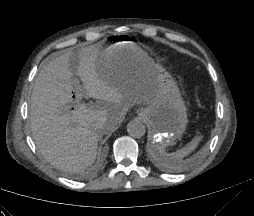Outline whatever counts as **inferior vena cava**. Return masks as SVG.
<instances>
[{
	"instance_id": "obj_1",
	"label": "inferior vena cava",
	"mask_w": 254,
	"mask_h": 216,
	"mask_svg": "<svg viewBox=\"0 0 254 216\" xmlns=\"http://www.w3.org/2000/svg\"><path fill=\"white\" fill-rule=\"evenodd\" d=\"M96 126H97V128H99V127L101 126V124H100V123H98Z\"/></svg>"
}]
</instances>
